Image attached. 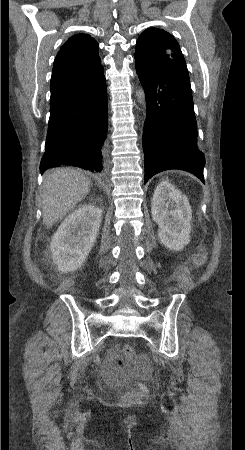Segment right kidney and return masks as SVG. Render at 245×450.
I'll return each instance as SVG.
<instances>
[{
    "mask_svg": "<svg viewBox=\"0 0 245 450\" xmlns=\"http://www.w3.org/2000/svg\"><path fill=\"white\" fill-rule=\"evenodd\" d=\"M102 211L83 205L69 214L52 237L50 249L61 272L80 268L91 251L99 231Z\"/></svg>",
    "mask_w": 245,
    "mask_h": 450,
    "instance_id": "ca27d5eb",
    "label": "right kidney"
}]
</instances>
